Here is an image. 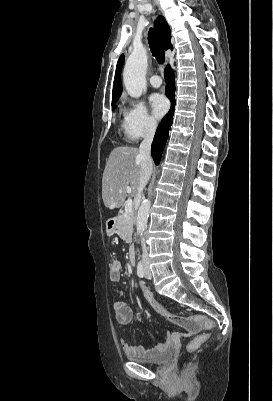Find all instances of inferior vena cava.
Masks as SVG:
<instances>
[{
    "label": "inferior vena cava",
    "mask_w": 273,
    "mask_h": 401,
    "mask_svg": "<svg viewBox=\"0 0 273 401\" xmlns=\"http://www.w3.org/2000/svg\"><path fill=\"white\" fill-rule=\"evenodd\" d=\"M155 130H156V124H153V126H149V128H146L144 140H142L139 146V156L141 158V174H140L138 192L136 194V198H139V201H141V192L144 186H146L152 172V158L150 156V150ZM141 247L143 251L142 259L144 261V259H148V249L146 247L144 239H141Z\"/></svg>",
    "instance_id": "obj_1"
}]
</instances>
